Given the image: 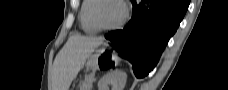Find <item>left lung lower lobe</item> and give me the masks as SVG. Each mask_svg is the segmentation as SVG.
<instances>
[{
    "instance_id": "0a47b994",
    "label": "left lung lower lobe",
    "mask_w": 228,
    "mask_h": 90,
    "mask_svg": "<svg viewBox=\"0 0 228 90\" xmlns=\"http://www.w3.org/2000/svg\"><path fill=\"white\" fill-rule=\"evenodd\" d=\"M132 18L123 30L105 35L122 58L133 65L138 78L157 64L169 39L176 32L189 6L188 0H131Z\"/></svg>"
}]
</instances>
